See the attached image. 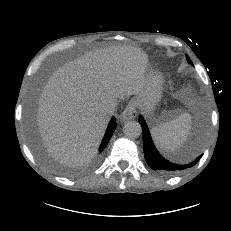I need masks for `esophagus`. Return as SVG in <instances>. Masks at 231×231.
Returning <instances> with one entry per match:
<instances>
[{"label": "esophagus", "mask_w": 231, "mask_h": 231, "mask_svg": "<svg viewBox=\"0 0 231 231\" xmlns=\"http://www.w3.org/2000/svg\"><path fill=\"white\" fill-rule=\"evenodd\" d=\"M136 116H137V111L135 108V104L133 102H129L125 107V109L123 110V112L121 113L120 117L123 121H127L136 118Z\"/></svg>", "instance_id": "34e87169"}]
</instances>
